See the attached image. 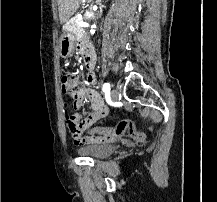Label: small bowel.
Returning a JSON list of instances; mask_svg holds the SVG:
<instances>
[{
	"mask_svg": "<svg viewBox=\"0 0 217 202\" xmlns=\"http://www.w3.org/2000/svg\"><path fill=\"white\" fill-rule=\"evenodd\" d=\"M91 54L94 58V63L96 60V54L94 49L91 47ZM86 81L89 85H93L96 81L94 74L87 73ZM86 99L90 105V113L85 118L82 119L80 110L83 106V99H77L74 101L73 105H76V112L71 116H76V130L71 132V138L75 145H86V144H104L113 142L118 138L116 131H90L85 133L82 130L83 126H91L94 122L105 119L109 117L110 111L109 108L105 105L100 94L94 90H88L84 93Z\"/></svg>",
	"mask_w": 217,
	"mask_h": 202,
	"instance_id": "small-bowel-1",
	"label": "small bowel"
}]
</instances>
